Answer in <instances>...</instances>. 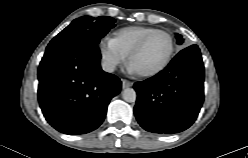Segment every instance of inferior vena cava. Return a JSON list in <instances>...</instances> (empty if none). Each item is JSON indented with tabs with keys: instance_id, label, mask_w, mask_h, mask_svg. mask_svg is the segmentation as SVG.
<instances>
[{
	"instance_id": "1",
	"label": "inferior vena cava",
	"mask_w": 248,
	"mask_h": 158,
	"mask_svg": "<svg viewBox=\"0 0 248 158\" xmlns=\"http://www.w3.org/2000/svg\"><path fill=\"white\" fill-rule=\"evenodd\" d=\"M115 67L116 65L113 62H107V61L102 62V69L105 72L112 73L115 70Z\"/></svg>"
}]
</instances>
